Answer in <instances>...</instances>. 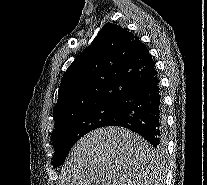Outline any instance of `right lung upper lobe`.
Instances as JSON below:
<instances>
[{
    "label": "right lung upper lobe",
    "mask_w": 207,
    "mask_h": 185,
    "mask_svg": "<svg viewBox=\"0 0 207 185\" xmlns=\"http://www.w3.org/2000/svg\"><path fill=\"white\" fill-rule=\"evenodd\" d=\"M156 75L145 44L127 28L106 23L64 73L55 122L104 104H120L131 90Z\"/></svg>",
    "instance_id": "cb5924a9"
}]
</instances>
